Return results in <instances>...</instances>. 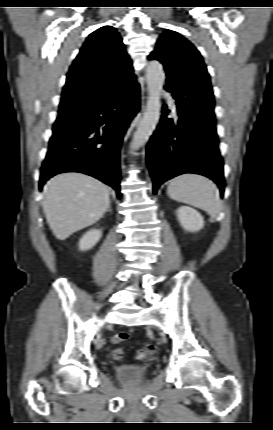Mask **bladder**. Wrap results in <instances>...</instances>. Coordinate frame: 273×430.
<instances>
[{
    "label": "bladder",
    "mask_w": 273,
    "mask_h": 430,
    "mask_svg": "<svg viewBox=\"0 0 273 430\" xmlns=\"http://www.w3.org/2000/svg\"><path fill=\"white\" fill-rule=\"evenodd\" d=\"M116 375L123 381L133 382L142 379L147 368L141 365H120L116 367Z\"/></svg>",
    "instance_id": "bladder-1"
}]
</instances>
